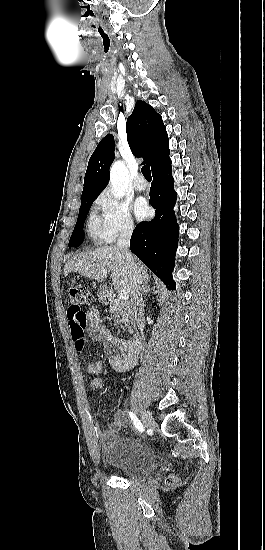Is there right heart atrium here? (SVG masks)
Wrapping results in <instances>:
<instances>
[{
	"label": "right heart atrium",
	"mask_w": 265,
	"mask_h": 550,
	"mask_svg": "<svg viewBox=\"0 0 265 550\" xmlns=\"http://www.w3.org/2000/svg\"><path fill=\"white\" fill-rule=\"evenodd\" d=\"M96 205L102 212L103 229L109 241L133 233L134 221L126 201L105 190L96 199Z\"/></svg>",
	"instance_id": "d8ad5b80"
}]
</instances>
